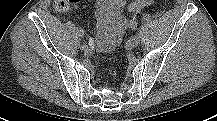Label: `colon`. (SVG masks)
<instances>
[{
  "mask_svg": "<svg viewBox=\"0 0 217 121\" xmlns=\"http://www.w3.org/2000/svg\"><path fill=\"white\" fill-rule=\"evenodd\" d=\"M82 0H53V7L59 12H69L76 8Z\"/></svg>",
  "mask_w": 217,
  "mask_h": 121,
  "instance_id": "5ec220e1",
  "label": "colon"
}]
</instances>
